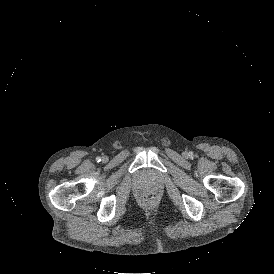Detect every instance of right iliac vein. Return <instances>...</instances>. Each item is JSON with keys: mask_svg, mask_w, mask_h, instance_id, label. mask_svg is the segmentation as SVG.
Instances as JSON below:
<instances>
[{"mask_svg": "<svg viewBox=\"0 0 274 274\" xmlns=\"http://www.w3.org/2000/svg\"><path fill=\"white\" fill-rule=\"evenodd\" d=\"M106 158H107L106 156L103 157V159H106Z\"/></svg>", "mask_w": 274, "mask_h": 274, "instance_id": "obj_1", "label": "right iliac vein"}]
</instances>
